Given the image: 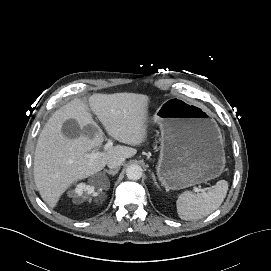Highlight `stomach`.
I'll return each instance as SVG.
<instances>
[{
  "label": "stomach",
  "mask_w": 271,
  "mask_h": 271,
  "mask_svg": "<svg viewBox=\"0 0 271 271\" xmlns=\"http://www.w3.org/2000/svg\"><path fill=\"white\" fill-rule=\"evenodd\" d=\"M153 119L161 129L157 174L167 191L221 175L225 166L224 141L206 108L172 98L160 105Z\"/></svg>",
  "instance_id": "0dacf381"
}]
</instances>
